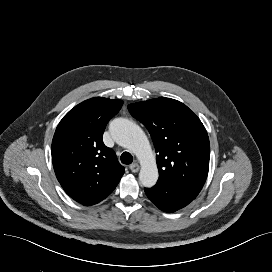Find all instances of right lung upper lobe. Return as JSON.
Wrapping results in <instances>:
<instances>
[{
    "mask_svg": "<svg viewBox=\"0 0 272 272\" xmlns=\"http://www.w3.org/2000/svg\"><path fill=\"white\" fill-rule=\"evenodd\" d=\"M122 100L88 99L60 121L52 141V161L65 192L82 205H94L112 193L124 174L114 151L104 145L107 122Z\"/></svg>",
    "mask_w": 272,
    "mask_h": 272,
    "instance_id": "cb5924a9",
    "label": "right lung upper lobe"
}]
</instances>
